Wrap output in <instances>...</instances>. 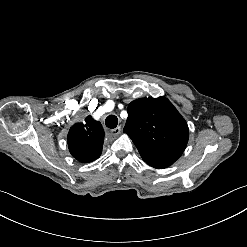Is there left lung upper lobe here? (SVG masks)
Segmentation results:
<instances>
[{
    "mask_svg": "<svg viewBox=\"0 0 247 247\" xmlns=\"http://www.w3.org/2000/svg\"><path fill=\"white\" fill-rule=\"evenodd\" d=\"M127 111L123 131L148 165L164 169L181 156L188 142L189 129L167 98L137 99L128 105Z\"/></svg>",
    "mask_w": 247,
    "mask_h": 247,
    "instance_id": "5c2ea615",
    "label": "left lung upper lobe"
}]
</instances>
